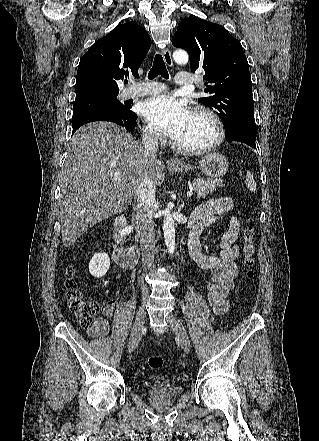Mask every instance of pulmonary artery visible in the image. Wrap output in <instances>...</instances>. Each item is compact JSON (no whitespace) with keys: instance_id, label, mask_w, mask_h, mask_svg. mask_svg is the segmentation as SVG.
Returning <instances> with one entry per match:
<instances>
[{"instance_id":"e3ab8cb5","label":"pulmonary artery","mask_w":319,"mask_h":441,"mask_svg":"<svg viewBox=\"0 0 319 441\" xmlns=\"http://www.w3.org/2000/svg\"><path fill=\"white\" fill-rule=\"evenodd\" d=\"M175 83L187 87L197 83V78L189 73L180 72L175 77ZM166 89L165 85L159 82H145L142 86L128 90L124 93L125 98H135L145 95L158 94Z\"/></svg>"}]
</instances>
